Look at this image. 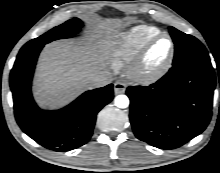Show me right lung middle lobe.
<instances>
[{
    "label": "right lung middle lobe",
    "mask_w": 220,
    "mask_h": 173,
    "mask_svg": "<svg viewBox=\"0 0 220 173\" xmlns=\"http://www.w3.org/2000/svg\"><path fill=\"white\" fill-rule=\"evenodd\" d=\"M81 26L82 22L78 18L68 20L64 24L51 29L42 36L27 42L21 50L44 46L46 43L56 39L72 37L80 30Z\"/></svg>",
    "instance_id": "obj_1"
}]
</instances>
